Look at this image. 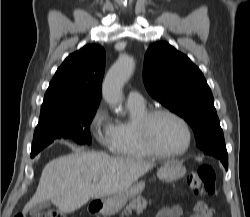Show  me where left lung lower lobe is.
<instances>
[{
    "mask_svg": "<svg viewBox=\"0 0 250 217\" xmlns=\"http://www.w3.org/2000/svg\"><path fill=\"white\" fill-rule=\"evenodd\" d=\"M204 153L206 155L214 156V157L220 159V161L223 163L225 169L226 170L228 169V154H227L225 144H221V145H217V146L212 147V148H208V149L204 150Z\"/></svg>",
    "mask_w": 250,
    "mask_h": 217,
    "instance_id": "1",
    "label": "left lung lower lobe"
}]
</instances>
